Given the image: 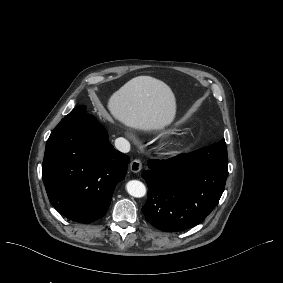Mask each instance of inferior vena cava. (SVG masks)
<instances>
[{"instance_id": "inferior-vena-cava-1", "label": "inferior vena cava", "mask_w": 283, "mask_h": 283, "mask_svg": "<svg viewBox=\"0 0 283 283\" xmlns=\"http://www.w3.org/2000/svg\"><path fill=\"white\" fill-rule=\"evenodd\" d=\"M115 147H116L120 152H123V153H127V152L130 151V143H129L126 139H124V138H122V137L117 138V139L115 140Z\"/></svg>"}]
</instances>
